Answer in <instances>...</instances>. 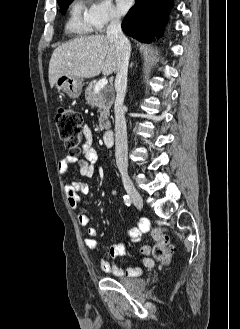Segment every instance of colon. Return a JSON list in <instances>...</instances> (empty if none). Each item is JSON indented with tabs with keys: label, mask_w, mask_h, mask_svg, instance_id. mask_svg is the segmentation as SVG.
<instances>
[{
	"label": "colon",
	"mask_w": 240,
	"mask_h": 329,
	"mask_svg": "<svg viewBox=\"0 0 240 329\" xmlns=\"http://www.w3.org/2000/svg\"><path fill=\"white\" fill-rule=\"evenodd\" d=\"M56 124L60 138L63 140L66 149L72 156H77L81 152L80 142L83 126V118L81 114L75 110L66 107H60L55 114ZM151 235L156 244L153 255L161 266H166L171 258L173 251L169 246V236L163 227H155L152 229Z\"/></svg>",
	"instance_id": "obj_1"
}]
</instances>
